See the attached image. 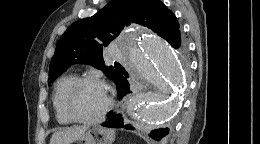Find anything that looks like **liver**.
Returning <instances> with one entry per match:
<instances>
[{
    "mask_svg": "<svg viewBox=\"0 0 260 144\" xmlns=\"http://www.w3.org/2000/svg\"><path fill=\"white\" fill-rule=\"evenodd\" d=\"M86 130V127H72L62 129L52 135L50 144H70L73 140L83 135Z\"/></svg>",
    "mask_w": 260,
    "mask_h": 144,
    "instance_id": "obj_1",
    "label": "liver"
}]
</instances>
